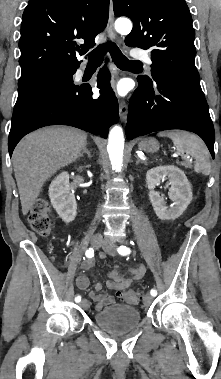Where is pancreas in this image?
<instances>
[{"mask_svg": "<svg viewBox=\"0 0 221 379\" xmlns=\"http://www.w3.org/2000/svg\"><path fill=\"white\" fill-rule=\"evenodd\" d=\"M184 166H185V167H187V168H189V167H190V165H189V164H184Z\"/></svg>", "mask_w": 221, "mask_h": 379, "instance_id": "1", "label": "pancreas"}]
</instances>
